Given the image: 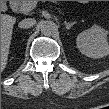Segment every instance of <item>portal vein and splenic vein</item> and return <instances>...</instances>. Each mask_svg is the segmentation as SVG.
<instances>
[{"label": "portal vein and splenic vein", "mask_w": 109, "mask_h": 109, "mask_svg": "<svg viewBox=\"0 0 109 109\" xmlns=\"http://www.w3.org/2000/svg\"><path fill=\"white\" fill-rule=\"evenodd\" d=\"M38 4V1H26L23 3V5L21 6L20 10L22 12H28L33 10ZM59 12H61V10H59Z\"/></svg>", "instance_id": "18ae733b"}]
</instances>
